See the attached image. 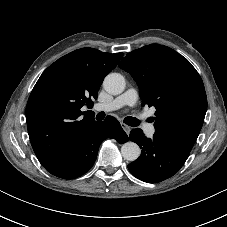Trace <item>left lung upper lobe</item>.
I'll return each instance as SVG.
<instances>
[{"mask_svg":"<svg viewBox=\"0 0 227 227\" xmlns=\"http://www.w3.org/2000/svg\"><path fill=\"white\" fill-rule=\"evenodd\" d=\"M119 67L137 82L143 104L156 108L155 134L190 152L207 110L204 84L192 64L167 46L150 44L128 53Z\"/></svg>","mask_w":227,"mask_h":227,"instance_id":"obj_1","label":"left lung upper lobe"}]
</instances>
